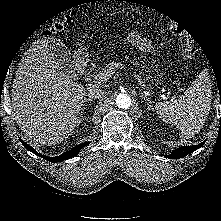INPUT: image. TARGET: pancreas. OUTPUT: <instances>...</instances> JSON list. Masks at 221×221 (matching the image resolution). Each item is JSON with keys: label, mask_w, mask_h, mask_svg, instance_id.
<instances>
[{"label": "pancreas", "mask_w": 221, "mask_h": 221, "mask_svg": "<svg viewBox=\"0 0 221 221\" xmlns=\"http://www.w3.org/2000/svg\"><path fill=\"white\" fill-rule=\"evenodd\" d=\"M112 68H115V63H109L106 65V69H112ZM145 81L153 82V81H159V79L156 78V76H147L145 78Z\"/></svg>", "instance_id": "cf45deb5"}]
</instances>
